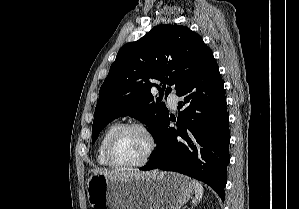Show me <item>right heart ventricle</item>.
Instances as JSON below:
<instances>
[{
    "instance_id": "right-heart-ventricle-1",
    "label": "right heart ventricle",
    "mask_w": 299,
    "mask_h": 209,
    "mask_svg": "<svg viewBox=\"0 0 299 209\" xmlns=\"http://www.w3.org/2000/svg\"><path fill=\"white\" fill-rule=\"evenodd\" d=\"M120 126L119 123L114 122L111 123L102 133L101 138L99 140L98 146H97V153H96V158L97 162L102 165V166H109L106 160V145L108 142V139L110 135Z\"/></svg>"
}]
</instances>
